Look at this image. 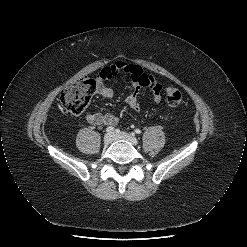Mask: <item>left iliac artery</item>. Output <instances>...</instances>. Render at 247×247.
Listing matches in <instances>:
<instances>
[{"label":"left iliac artery","mask_w":247,"mask_h":247,"mask_svg":"<svg viewBox=\"0 0 247 247\" xmlns=\"http://www.w3.org/2000/svg\"><path fill=\"white\" fill-rule=\"evenodd\" d=\"M135 133H136V134H141V130L136 129V130H135Z\"/></svg>","instance_id":"1"}]
</instances>
